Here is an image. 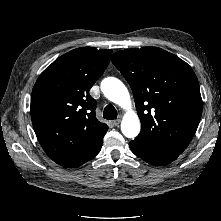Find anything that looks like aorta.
Instances as JSON below:
<instances>
[{
  "instance_id": "1",
  "label": "aorta",
  "mask_w": 221,
  "mask_h": 221,
  "mask_svg": "<svg viewBox=\"0 0 221 221\" xmlns=\"http://www.w3.org/2000/svg\"><path fill=\"white\" fill-rule=\"evenodd\" d=\"M101 91L111 102L128 110L121 123V131L127 138H135L141 129L138 115L131 111V99L126 86L117 78L107 77L101 82Z\"/></svg>"
}]
</instances>
